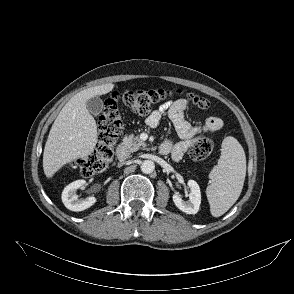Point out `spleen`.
<instances>
[{"label":"spleen","instance_id":"obj_1","mask_svg":"<svg viewBox=\"0 0 294 294\" xmlns=\"http://www.w3.org/2000/svg\"><path fill=\"white\" fill-rule=\"evenodd\" d=\"M221 148L220 159L210 172L211 184L206 191L214 217L223 215L237 201L246 175V156L237 139L226 137Z\"/></svg>","mask_w":294,"mask_h":294}]
</instances>
